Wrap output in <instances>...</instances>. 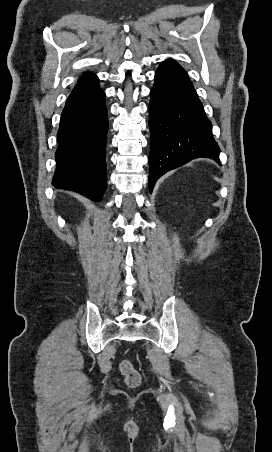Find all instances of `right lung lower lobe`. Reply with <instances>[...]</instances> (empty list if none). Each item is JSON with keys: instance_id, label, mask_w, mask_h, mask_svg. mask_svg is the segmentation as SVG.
<instances>
[{"instance_id": "obj_1", "label": "right lung lower lobe", "mask_w": 272, "mask_h": 452, "mask_svg": "<svg viewBox=\"0 0 272 452\" xmlns=\"http://www.w3.org/2000/svg\"><path fill=\"white\" fill-rule=\"evenodd\" d=\"M105 93L97 76L78 82L66 101L57 134L52 184L100 201L107 186Z\"/></svg>"}]
</instances>
